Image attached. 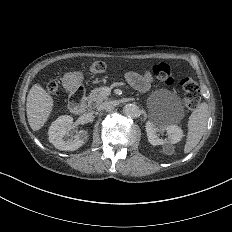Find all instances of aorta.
<instances>
[{"instance_id": "obj_1", "label": "aorta", "mask_w": 232, "mask_h": 232, "mask_svg": "<svg viewBox=\"0 0 232 232\" xmlns=\"http://www.w3.org/2000/svg\"><path fill=\"white\" fill-rule=\"evenodd\" d=\"M124 113L129 118H137L140 116V108L135 104H127L124 106Z\"/></svg>"}]
</instances>
